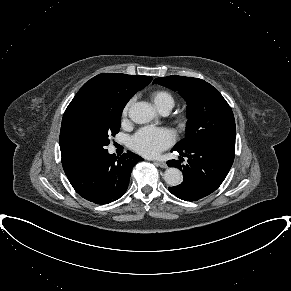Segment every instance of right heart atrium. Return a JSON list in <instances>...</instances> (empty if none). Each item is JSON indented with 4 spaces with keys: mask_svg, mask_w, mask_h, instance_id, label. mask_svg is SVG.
Masks as SVG:
<instances>
[{
    "mask_svg": "<svg viewBox=\"0 0 291 291\" xmlns=\"http://www.w3.org/2000/svg\"><path fill=\"white\" fill-rule=\"evenodd\" d=\"M131 103H132V100H129L122 109L121 117L123 120L126 119L128 115V111H129Z\"/></svg>",
    "mask_w": 291,
    "mask_h": 291,
    "instance_id": "d8ad5b80",
    "label": "right heart atrium"
}]
</instances>
